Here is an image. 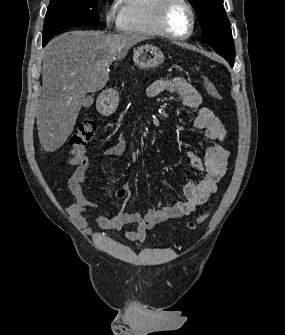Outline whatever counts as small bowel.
Returning a JSON list of instances; mask_svg holds the SVG:
<instances>
[{
	"label": "small bowel",
	"instance_id": "obj_1",
	"mask_svg": "<svg viewBox=\"0 0 285 335\" xmlns=\"http://www.w3.org/2000/svg\"><path fill=\"white\" fill-rule=\"evenodd\" d=\"M161 93H174L185 106L197 110L193 125L204 132L211 145L207 148L203 160L193 152H189L187 156L194 169L202 174V178L197 182L191 180L185 185L183 201L152 208L144 215L125 211L124 202L129 194V188L125 184L117 192V198L121 202V209L117 214H91V211L97 208V204L85 194L83 189L90 168L88 164L80 165L69 180V188L76 201L68 208V212L85 233L91 234L87 226V217L90 216L96 225L104 230H120L127 224H133L134 228L126 232L127 239L132 242H143L147 231L157 224L169 219L188 216L199 206L205 204L216 192L218 183L225 176L229 152L221 143L226 137V129L210 108L201 105L200 93L183 78L156 80L148 88V95L151 97ZM125 152L126 140L121 137L106 148L103 154L106 157L117 158L123 156Z\"/></svg>",
	"mask_w": 285,
	"mask_h": 335
}]
</instances>
